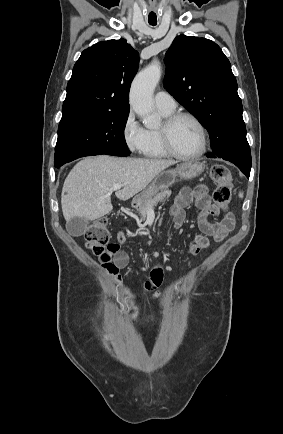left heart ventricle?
I'll list each match as a JSON object with an SVG mask.
<instances>
[{"label": "left heart ventricle", "mask_w": 283, "mask_h": 434, "mask_svg": "<svg viewBox=\"0 0 283 434\" xmlns=\"http://www.w3.org/2000/svg\"><path fill=\"white\" fill-rule=\"evenodd\" d=\"M171 141L175 150L182 154H192L200 148V134L196 125L189 119H180L171 130Z\"/></svg>", "instance_id": "b2bd125f"}]
</instances>
